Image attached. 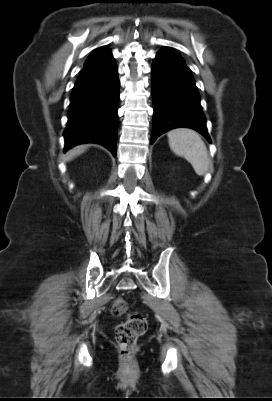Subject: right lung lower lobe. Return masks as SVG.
<instances>
[{
    "label": "right lung lower lobe",
    "mask_w": 272,
    "mask_h": 401,
    "mask_svg": "<svg viewBox=\"0 0 272 401\" xmlns=\"http://www.w3.org/2000/svg\"><path fill=\"white\" fill-rule=\"evenodd\" d=\"M119 103L118 71L111 52H92L73 88L64 131L66 152L81 143H98L116 156Z\"/></svg>",
    "instance_id": "98d812e1"
}]
</instances>
